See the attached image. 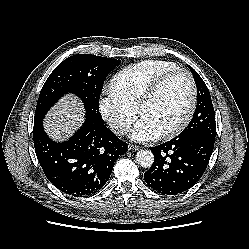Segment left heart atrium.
<instances>
[{
	"mask_svg": "<svg viewBox=\"0 0 249 249\" xmlns=\"http://www.w3.org/2000/svg\"><path fill=\"white\" fill-rule=\"evenodd\" d=\"M162 134L161 130L149 119L141 117L131 130L130 136L138 142L154 140Z\"/></svg>",
	"mask_w": 249,
	"mask_h": 249,
	"instance_id": "left-heart-atrium-1",
	"label": "left heart atrium"
}]
</instances>
